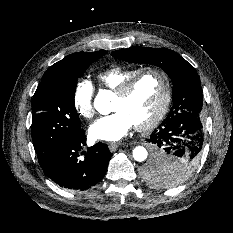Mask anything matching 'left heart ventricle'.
<instances>
[{
	"instance_id": "b2bd125f",
	"label": "left heart ventricle",
	"mask_w": 233,
	"mask_h": 233,
	"mask_svg": "<svg viewBox=\"0 0 233 233\" xmlns=\"http://www.w3.org/2000/svg\"><path fill=\"white\" fill-rule=\"evenodd\" d=\"M163 97V81L156 73L141 76L129 94L115 96L112 110H122L132 119L134 125L149 120L159 108Z\"/></svg>"
}]
</instances>
